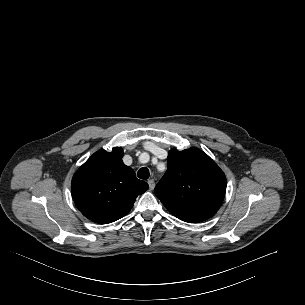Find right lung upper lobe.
I'll return each instance as SVG.
<instances>
[{"label": "right lung upper lobe", "mask_w": 305, "mask_h": 305, "mask_svg": "<svg viewBox=\"0 0 305 305\" xmlns=\"http://www.w3.org/2000/svg\"><path fill=\"white\" fill-rule=\"evenodd\" d=\"M123 150H99L74 174L72 198L81 213L99 224H108L125 216L136 197L148 189L132 168L123 161Z\"/></svg>", "instance_id": "obj_1"}]
</instances>
